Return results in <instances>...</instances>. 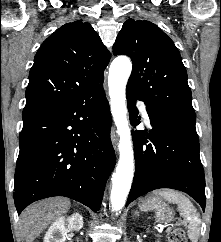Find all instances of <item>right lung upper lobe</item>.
<instances>
[{
	"mask_svg": "<svg viewBox=\"0 0 221 242\" xmlns=\"http://www.w3.org/2000/svg\"><path fill=\"white\" fill-rule=\"evenodd\" d=\"M110 57L89 23L61 26L35 55L23 117L61 107L102 82Z\"/></svg>",
	"mask_w": 221,
	"mask_h": 242,
	"instance_id": "obj_1",
	"label": "right lung upper lobe"
}]
</instances>
